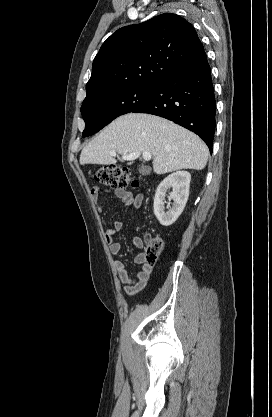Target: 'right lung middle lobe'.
I'll return each instance as SVG.
<instances>
[{"label":"right lung middle lobe","mask_w":272,"mask_h":417,"mask_svg":"<svg viewBox=\"0 0 272 417\" xmlns=\"http://www.w3.org/2000/svg\"><path fill=\"white\" fill-rule=\"evenodd\" d=\"M157 88L158 84L139 85L83 102L80 109L86 124L83 137L98 132L118 116L132 112L149 100Z\"/></svg>","instance_id":"1"}]
</instances>
